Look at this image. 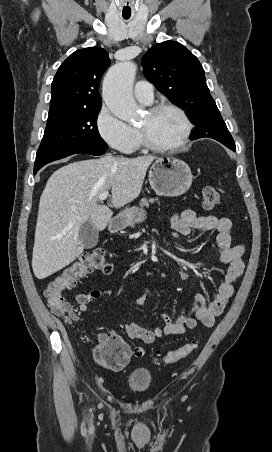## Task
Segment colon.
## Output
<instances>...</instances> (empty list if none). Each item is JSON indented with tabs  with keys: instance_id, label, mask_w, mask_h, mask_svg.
Here are the masks:
<instances>
[{
	"instance_id": "1",
	"label": "colon",
	"mask_w": 272,
	"mask_h": 452,
	"mask_svg": "<svg viewBox=\"0 0 272 452\" xmlns=\"http://www.w3.org/2000/svg\"><path fill=\"white\" fill-rule=\"evenodd\" d=\"M222 201L220 192L213 186H206L202 190V204L206 209H213ZM112 264L102 252H91L82 255L79 259L69 264L47 286L44 297L47 306L57 316L68 315L72 310L64 300L63 292L77 282L80 278L95 270L104 274L112 272ZM197 348V341L193 340L184 346L166 353L161 361L164 364H172L187 358ZM130 351V350H129ZM125 342L116 336L104 335L98 340L93 358L97 365L104 369L120 370L129 360L130 354ZM135 356H143L145 349L135 346L132 349Z\"/></svg>"
}]
</instances>
